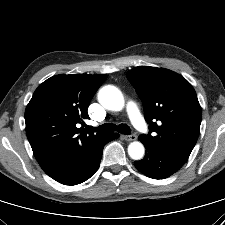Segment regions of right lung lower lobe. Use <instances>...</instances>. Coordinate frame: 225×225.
Instances as JSON below:
<instances>
[{
	"instance_id": "right-lung-lower-lobe-1",
	"label": "right lung lower lobe",
	"mask_w": 225,
	"mask_h": 225,
	"mask_svg": "<svg viewBox=\"0 0 225 225\" xmlns=\"http://www.w3.org/2000/svg\"><path fill=\"white\" fill-rule=\"evenodd\" d=\"M118 137V133H106L87 149L62 155L44 172L65 185L82 183L88 180L99 168L105 144Z\"/></svg>"
}]
</instances>
